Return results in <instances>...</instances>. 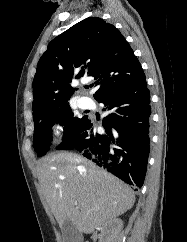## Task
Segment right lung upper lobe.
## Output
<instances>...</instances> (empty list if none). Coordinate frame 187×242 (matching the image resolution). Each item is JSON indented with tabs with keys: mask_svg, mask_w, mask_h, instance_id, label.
<instances>
[{
	"mask_svg": "<svg viewBox=\"0 0 187 242\" xmlns=\"http://www.w3.org/2000/svg\"><path fill=\"white\" fill-rule=\"evenodd\" d=\"M82 77L95 79L97 100L145 74L116 27L97 17L86 18L54 38L40 58L33 81V115L69 104L75 91L70 83Z\"/></svg>",
	"mask_w": 187,
	"mask_h": 242,
	"instance_id": "obj_1",
	"label": "right lung upper lobe"
}]
</instances>
